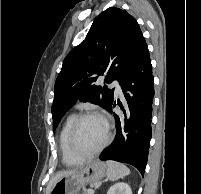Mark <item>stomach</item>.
Returning <instances> with one entry per match:
<instances>
[{"label":"stomach","mask_w":201,"mask_h":194,"mask_svg":"<svg viewBox=\"0 0 201 194\" xmlns=\"http://www.w3.org/2000/svg\"><path fill=\"white\" fill-rule=\"evenodd\" d=\"M105 163L95 161L87 164L72 174L60 178L52 187L49 194H78L88 184H94L107 175Z\"/></svg>","instance_id":"obj_1"}]
</instances>
